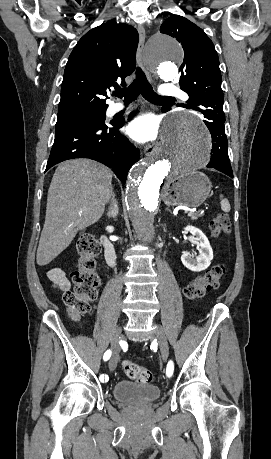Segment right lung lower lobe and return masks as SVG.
Instances as JSON below:
<instances>
[{
	"label": "right lung lower lobe",
	"instance_id": "98d812e1",
	"mask_svg": "<svg viewBox=\"0 0 271 459\" xmlns=\"http://www.w3.org/2000/svg\"><path fill=\"white\" fill-rule=\"evenodd\" d=\"M110 124L81 123L57 130L45 172L68 159L89 158L111 167L125 183L140 152L118 131L124 124L122 120Z\"/></svg>",
	"mask_w": 271,
	"mask_h": 459
}]
</instances>
